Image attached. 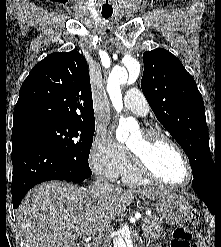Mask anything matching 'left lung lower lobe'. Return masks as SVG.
Instances as JSON below:
<instances>
[{"label": "left lung lower lobe", "instance_id": "0a47b994", "mask_svg": "<svg viewBox=\"0 0 221 247\" xmlns=\"http://www.w3.org/2000/svg\"><path fill=\"white\" fill-rule=\"evenodd\" d=\"M192 188L211 213L215 214L221 203V170L213 167L204 174L194 177Z\"/></svg>", "mask_w": 221, "mask_h": 247}]
</instances>
